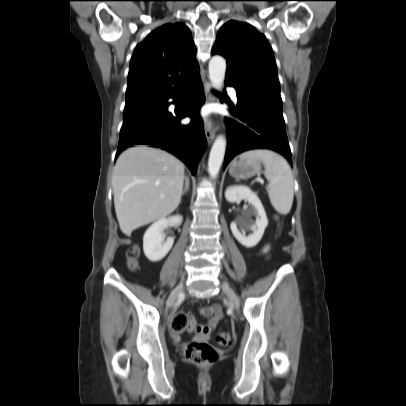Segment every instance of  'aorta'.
<instances>
[{
	"label": "aorta",
	"mask_w": 406,
	"mask_h": 406,
	"mask_svg": "<svg viewBox=\"0 0 406 406\" xmlns=\"http://www.w3.org/2000/svg\"><path fill=\"white\" fill-rule=\"evenodd\" d=\"M226 61L221 56H213L209 62V78L212 86L220 90L225 79ZM226 151V140L218 136L214 141L208 160V171L211 178L218 176Z\"/></svg>",
	"instance_id": "762f6f07"
}]
</instances>
